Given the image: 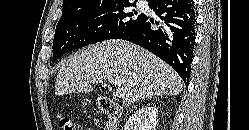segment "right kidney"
Returning <instances> with one entry per match:
<instances>
[{
    "instance_id": "obj_1",
    "label": "right kidney",
    "mask_w": 249,
    "mask_h": 130,
    "mask_svg": "<svg viewBox=\"0 0 249 130\" xmlns=\"http://www.w3.org/2000/svg\"><path fill=\"white\" fill-rule=\"evenodd\" d=\"M158 109L155 106L139 108L128 119L124 130H155Z\"/></svg>"
}]
</instances>
